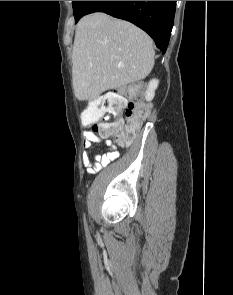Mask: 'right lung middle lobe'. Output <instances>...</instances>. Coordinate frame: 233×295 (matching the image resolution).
<instances>
[{
	"label": "right lung middle lobe",
	"instance_id": "obj_1",
	"mask_svg": "<svg viewBox=\"0 0 233 295\" xmlns=\"http://www.w3.org/2000/svg\"><path fill=\"white\" fill-rule=\"evenodd\" d=\"M88 1H72L75 23L82 17L84 7Z\"/></svg>",
	"mask_w": 233,
	"mask_h": 295
}]
</instances>
